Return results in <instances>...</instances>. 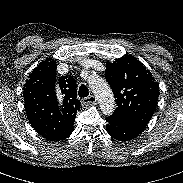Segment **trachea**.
I'll list each match as a JSON object with an SVG mask.
<instances>
[{
    "instance_id": "trachea-1",
    "label": "trachea",
    "mask_w": 183,
    "mask_h": 183,
    "mask_svg": "<svg viewBox=\"0 0 183 183\" xmlns=\"http://www.w3.org/2000/svg\"><path fill=\"white\" fill-rule=\"evenodd\" d=\"M78 94L80 97H87L89 95V91H88V88L82 84L80 87H79V91H78Z\"/></svg>"
}]
</instances>
